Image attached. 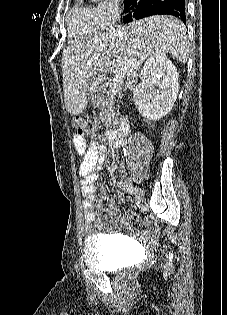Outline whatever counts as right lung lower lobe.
<instances>
[{
    "mask_svg": "<svg viewBox=\"0 0 227 315\" xmlns=\"http://www.w3.org/2000/svg\"><path fill=\"white\" fill-rule=\"evenodd\" d=\"M162 14L176 16L185 22V0H125L122 20L124 23H129Z\"/></svg>",
    "mask_w": 227,
    "mask_h": 315,
    "instance_id": "98d812e1",
    "label": "right lung lower lobe"
}]
</instances>
